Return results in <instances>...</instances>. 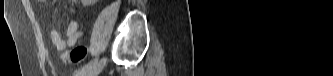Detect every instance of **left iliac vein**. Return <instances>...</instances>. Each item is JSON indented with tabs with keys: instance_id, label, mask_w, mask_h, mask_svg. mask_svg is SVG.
<instances>
[{
	"instance_id": "obj_1",
	"label": "left iliac vein",
	"mask_w": 333,
	"mask_h": 76,
	"mask_svg": "<svg viewBox=\"0 0 333 76\" xmlns=\"http://www.w3.org/2000/svg\"><path fill=\"white\" fill-rule=\"evenodd\" d=\"M106 64V58H102L97 61L91 68L79 74V76H97L103 70Z\"/></svg>"
}]
</instances>
